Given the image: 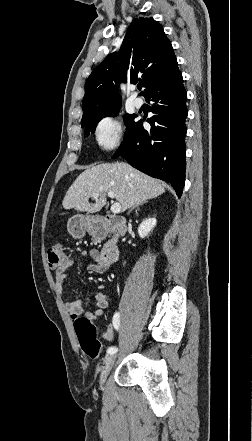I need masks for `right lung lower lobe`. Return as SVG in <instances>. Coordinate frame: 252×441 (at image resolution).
Returning a JSON list of instances; mask_svg holds the SVG:
<instances>
[{
    "mask_svg": "<svg viewBox=\"0 0 252 441\" xmlns=\"http://www.w3.org/2000/svg\"><path fill=\"white\" fill-rule=\"evenodd\" d=\"M154 115L145 130L142 120L129 129L113 158L122 156L136 169L169 182L180 197L185 183L187 92L177 60L144 95Z\"/></svg>",
    "mask_w": 252,
    "mask_h": 441,
    "instance_id": "1",
    "label": "right lung lower lobe"
}]
</instances>
